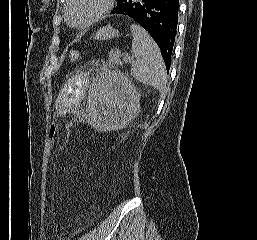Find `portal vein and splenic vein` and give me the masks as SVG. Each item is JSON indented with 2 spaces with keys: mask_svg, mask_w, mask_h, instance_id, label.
I'll list each match as a JSON object with an SVG mask.
<instances>
[{
  "mask_svg": "<svg viewBox=\"0 0 257 240\" xmlns=\"http://www.w3.org/2000/svg\"><path fill=\"white\" fill-rule=\"evenodd\" d=\"M123 61L126 62V63L127 62H134V59L132 57L128 56V55H124Z\"/></svg>",
  "mask_w": 257,
  "mask_h": 240,
  "instance_id": "18ae733b",
  "label": "portal vein and splenic vein"
}]
</instances>
